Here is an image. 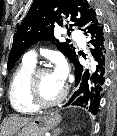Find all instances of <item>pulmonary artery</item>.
<instances>
[{"label": "pulmonary artery", "instance_id": "obj_1", "mask_svg": "<svg viewBox=\"0 0 117 136\" xmlns=\"http://www.w3.org/2000/svg\"><path fill=\"white\" fill-rule=\"evenodd\" d=\"M72 37L75 41L78 42V44L83 45V37L77 32V31H72ZM36 53L35 51H30L25 54L24 60L28 62L35 63L36 62Z\"/></svg>", "mask_w": 117, "mask_h": 136}]
</instances>
